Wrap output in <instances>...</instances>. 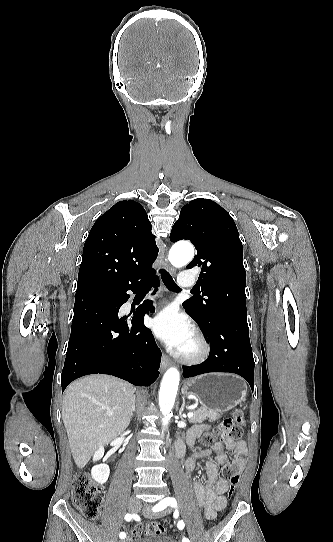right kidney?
<instances>
[{
	"mask_svg": "<svg viewBox=\"0 0 333 542\" xmlns=\"http://www.w3.org/2000/svg\"><path fill=\"white\" fill-rule=\"evenodd\" d=\"M104 448L103 446H100L98 448L97 452H95L93 456V462H97V460H101L104 456ZM110 470L109 466L107 464H99V466H93L91 470V476L95 482H98V484H105L109 478Z\"/></svg>",
	"mask_w": 333,
	"mask_h": 542,
	"instance_id": "obj_1",
	"label": "right kidney"
}]
</instances>
